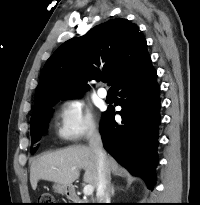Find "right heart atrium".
<instances>
[{"instance_id": "obj_1", "label": "right heart atrium", "mask_w": 200, "mask_h": 205, "mask_svg": "<svg viewBox=\"0 0 200 205\" xmlns=\"http://www.w3.org/2000/svg\"><path fill=\"white\" fill-rule=\"evenodd\" d=\"M57 117V136L63 142L75 143L96 132L94 114L79 99L64 101L59 107Z\"/></svg>"}]
</instances>
